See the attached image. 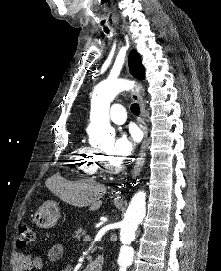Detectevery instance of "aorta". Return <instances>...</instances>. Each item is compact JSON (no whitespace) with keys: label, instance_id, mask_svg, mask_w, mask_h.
I'll use <instances>...</instances> for the list:
<instances>
[{"label":"aorta","instance_id":"1","mask_svg":"<svg viewBox=\"0 0 221 271\" xmlns=\"http://www.w3.org/2000/svg\"><path fill=\"white\" fill-rule=\"evenodd\" d=\"M134 83L125 79H107L101 82L94 90L91 106L92 126L101 133H110L109 123L110 103L122 91L133 88ZM146 214V194L137 192L131 199L122 221L120 241L122 246L118 257L119 271H126L132 264L134 249L130 246L135 239V232Z\"/></svg>","mask_w":221,"mask_h":271}]
</instances>
